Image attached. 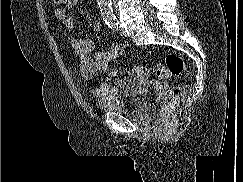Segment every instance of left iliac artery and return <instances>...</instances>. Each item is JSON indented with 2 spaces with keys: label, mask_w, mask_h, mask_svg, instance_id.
<instances>
[{
  "label": "left iliac artery",
  "mask_w": 243,
  "mask_h": 182,
  "mask_svg": "<svg viewBox=\"0 0 243 182\" xmlns=\"http://www.w3.org/2000/svg\"><path fill=\"white\" fill-rule=\"evenodd\" d=\"M109 27L114 31H118V23H111Z\"/></svg>",
  "instance_id": "1"
}]
</instances>
